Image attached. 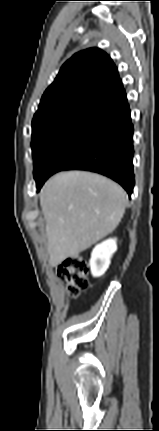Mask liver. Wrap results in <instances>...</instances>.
<instances>
[{"instance_id": "6515ba94", "label": "liver", "mask_w": 159, "mask_h": 431, "mask_svg": "<svg viewBox=\"0 0 159 431\" xmlns=\"http://www.w3.org/2000/svg\"><path fill=\"white\" fill-rule=\"evenodd\" d=\"M39 198L52 267L113 232L127 204L120 185L85 171L54 175L44 184Z\"/></svg>"}]
</instances>
